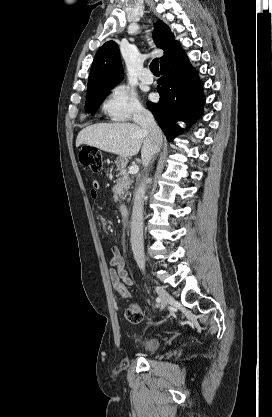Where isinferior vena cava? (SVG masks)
I'll return each mask as SVG.
<instances>
[{
  "label": "inferior vena cava",
  "mask_w": 272,
  "mask_h": 417,
  "mask_svg": "<svg viewBox=\"0 0 272 417\" xmlns=\"http://www.w3.org/2000/svg\"><path fill=\"white\" fill-rule=\"evenodd\" d=\"M134 121L149 133V136L154 142V153L159 152L162 144V131L157 125L152 113L145 108H139L134 114ZM145 187V183L142 182L135 193L131 222L132 251L134 259L142 271L145 270L143 247V205Z\"/></svg>",
  "instance_id": "1"
}]
</instances>
